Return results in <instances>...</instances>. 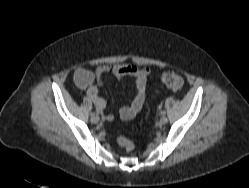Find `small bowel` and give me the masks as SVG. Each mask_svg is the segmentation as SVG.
I'll use <instances>...</instances> for the list:
<instances>
[{
    "mask_svg": "<svg viewBox=\"0 0 249 188\" xmlns=\"http://www.w3.org/2000/svg\"><path fill=\"white\" fill-rule=\"evenodd\" d=\"M112 72L116 78L130 77L135 83V93L130 105L121 107L120 117L125 120L133 118L143 107L146 96L147 78L151 73L149 67H139L131 64H116L113 66L103 64L97 67L95 73L86 69H77L74 73L76 85L85 90L88 99L94 104L98 113H103L106 101L98 95V87L104 84V77ZM108 121L113 120L112 115L104 116Z\"/></svg>",
    "mask_w": 249,
    "mask_h": 188,
    "instance_id": "1",
    "label": "small bowel"
}]
</instances>
